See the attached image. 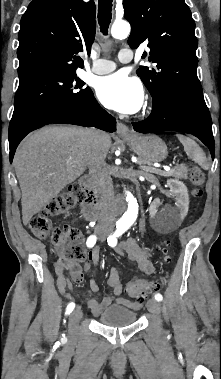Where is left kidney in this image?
<instances>
[{
    "instance_id": "obj_1",
    "label": "left kidney",
    "mask_w": 221,
    "mask_h": 379,
    "mask_svg": "<svg viewBox=\"0 0 221 379\" xmlns=\"http://www.w3.org/2000/svg\"><path fill=\"white\" fill-rule=\"evenodd\" d=\"M170 192L176 197V207L165 206L158 210L160 200L156 199L149 208L154 227L159 230H171L178 227L188 213L189 195L185 184L179 180L167 181Z\"/></svg>"
}]
</instances>
